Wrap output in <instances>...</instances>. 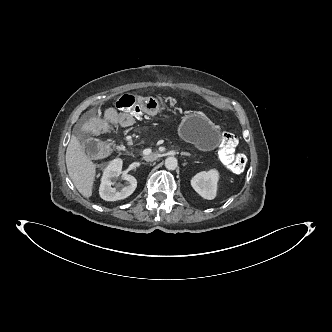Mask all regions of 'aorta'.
Returning <instances> with one entry per match:
<instances>
[{
	"label": "aorta",
	"mask_w": 332,
	"mask_h": 332,
	"mask_svg": "<svg viewBox=\"0 0 332 332\" xmlns=\"http://www.w3.org/2000/svg\"><path fill=\"white\" fill-rule=\"evenodd\" d=\"M178 166V161L175 157H167L165 160V167L168 170H175Z\"/></svg>",
	"instance_id": "aorta-1"
}]
</instances>
